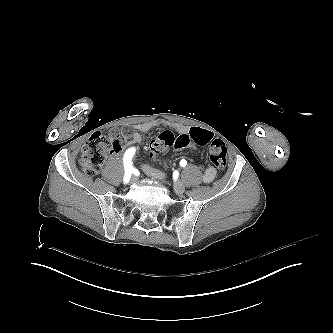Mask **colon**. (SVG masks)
<instances>
[{
	"mask_svg": "<svg viewBox=\"0 0 333 333\" xmlns=\"http://www.w3.org/2000/svg\"><path fill=\"white\" fill-rule=\"evenodd\" d=\"M187 135L175 139V135L169 129L160 131L150 142L149 154L152 157L159 156L162 152L171 148L172 152L183 150L188 143L197 149L210 147L209 158L218 169H224L227 164V148L222 139L216 138L214 131H202L201 128L187 126ZM133 132L130 127L124 126L118 130H110L92 134L86 141L81 156V164L88 175H96L102 168L107 156L113 153L122 142L132 139Z\"/></svg>",
	"mask_w": 333,
	"mask_h": 333,
	"instance_id": "obj_1",
	"label": "colon"
}]
</instances>
